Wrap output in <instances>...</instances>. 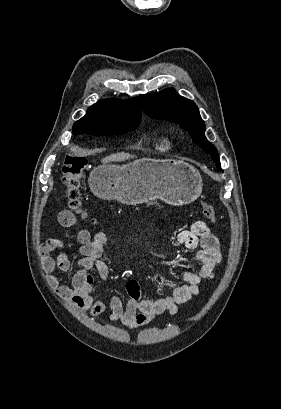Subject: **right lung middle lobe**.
<instances>
[{
  "label": "right lung middle lobe",
  "mask_w": 281,
  "mask_h": 409,
  "mask_svg": "<svg viewBox=\"0 0 281 409\" xmlns=\"http://www.w3.org/2000/svg\"><path fill=\"white\" fill-rule=\"evenodd\" d=\"M137 127L138 125L129 127H80L77 129H73V133L75 135L80 133H87L92 135H118L132 131Z\"/></svg>",
  "instance_id": "obj_1"
}]
</instances>
